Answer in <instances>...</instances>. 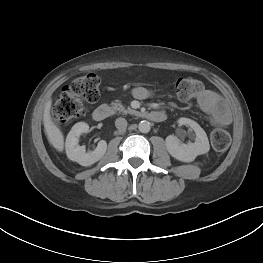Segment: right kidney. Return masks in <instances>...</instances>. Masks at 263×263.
I'll return each instance as SVG.
<instances>
[{
	"label": "right kidney",
	"mask_w": 263,
	"mask_h": 263,
	"mask_svg": "<svg viewBox=\"0 0 263 263\" xmlns=\"http://www.w3.org/2000/svg\"><path fill=\"white\" fill-rule=\"evenodd\" d=\"M89 125L85 122L76 123L68 133L65 143L67 157L82 166H90L99 161L107 150V143L104 140L98 142L94 151L86 153L85 146L78 145L81 134L87 133Z\"/></svg>",
	"instance_id": "obj_1"
}]
</instances>
